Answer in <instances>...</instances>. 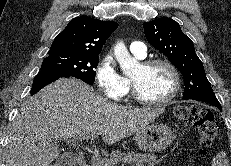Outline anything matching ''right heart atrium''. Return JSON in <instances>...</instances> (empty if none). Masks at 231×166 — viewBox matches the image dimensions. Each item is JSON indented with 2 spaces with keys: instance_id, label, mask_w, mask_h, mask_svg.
<instances>
[{
  "instance_id": "right-heart-atrium-1",
  "label": "right heart atrium",
  "mask_w": 231,
  "mask_h": 166,
  "mask_svg": "<svg viewBox=\"0 0 231 166\" xmlns=\"http://www.w3.org/2000/svg\"><path fill=\"white\" fill-rule=\"evenodd\" d=\"M95 80L102 94L112 101H120L130 91V82L119 72L109 53L99 60Z\"/></svg>"
}]
</instances>
